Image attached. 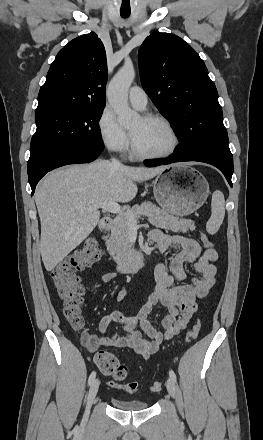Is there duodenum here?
<instances>
[{
	"label": "duodenum",
	"instance_id": "obj_1",
	"mask_svg": "<svg viewBox=\"0 0 263 440\" xmlns=\"http://www.w3.org/2000/svg\"><path fill=\"white\" fill-rule=\"evenodd\" d=\"M112 224L110 218H103L99 223V229L102 232H108ZM147 256L143 253H138L127 261H122L118 268L122 273H134L140 270L146 262Z\"/></svg>",
	"mask_w": 263,
	"mask_h": 440
}]
</instances>
